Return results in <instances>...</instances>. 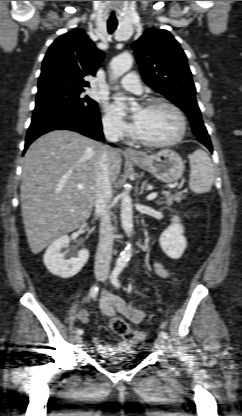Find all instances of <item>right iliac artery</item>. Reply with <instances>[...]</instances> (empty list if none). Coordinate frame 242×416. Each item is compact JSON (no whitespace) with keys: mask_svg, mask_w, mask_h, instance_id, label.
<instances>
[{"mask_svg":"<svg viewBox=\"0 0 242 416\" xmlns=\"http://www.w3.org/2000/svg\"><path fill=\"white\" fill-rule=\"evenodd\" d=\"M99 288L97 285L92 286V288L90 289V296L92 298H95L98 294ZM77 334H83V330L82 329H77L76 331Z\"/></svg>","mask_w":242,"mask_h":416,"instance_id":"1","label":"right iliac artery"}]
</instances>
